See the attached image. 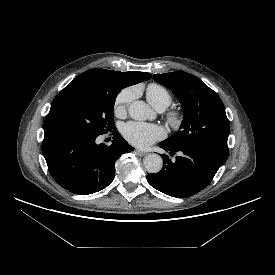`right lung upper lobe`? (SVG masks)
<instances>
[{
	"label": "right lung upper lobe",
	"mask_w": 275,
	"mask_h": 275,
	"mask_svg": "<svg viewBox=\"0 0 275 275\" xmlns=\"http://www.w3.org/2000/svg\"><path fill=\"white\" fill-rule=\"evenodd\" d=\"M150 73L145 72H119L105 69H90L77 76L70 84L77 83H105L110 82L118 87L125 88L127 86L140 83L150 79Z\"/></svg>",
	"instance_id": "cb5924a9"
}]
</instances>
